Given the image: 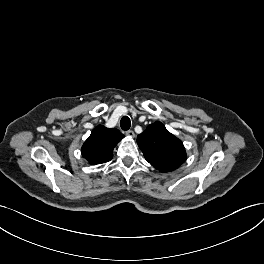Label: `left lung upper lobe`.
Wrapping results in <instances>:
<instances>
[{"label": "left lung upper lobe", "instance_id": "1", "mask_svg": "<svg viewBox=\"0 0 264 264\" xmlns=\"http://www.w3.org/2000/svg\"><path fill=\"white\" fill-rule=\"evenodd\" d=\"M137 143L145 159L161 172L177 169L186 159L181 140L171 134L159 121L138 135Z\"/></svg>", "mask_w": 264, "mask_h": 264}]
</instances>
